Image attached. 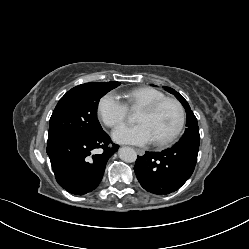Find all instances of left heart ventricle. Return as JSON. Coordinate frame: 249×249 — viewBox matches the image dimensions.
Returning a JSON list of instances; mask_svg holds the SVG:
<instances>
[{
  "label": "left heart ventricle",
  "mask_w": 249,
  "mask_h": 249,
  "mask_svg": "<svg viewBox=\"0 0 249 249\" xmlns=\"http://www.w3.org/2000/svg\"><path fill=\"white\" fill-rule=\"evenodd\" d=\"M136 121L148 126L154 141L162 140L168 137L177 127L179 110L174 103L166 102L152 113L139 110Z\"/></svg>",
  "instance_id": "b2bd125f"
}]
</instances>
